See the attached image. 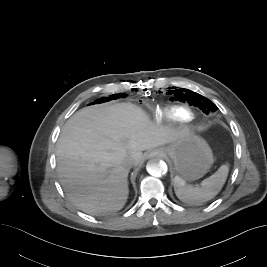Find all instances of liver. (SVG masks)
I'll return each instance as SVG.
<instances>
[{"mask_svg":"<svg viewBox=\"0 0 267 267\" xmlns=\"http://www.w3.org/2000/svg\"><path fill=\"white\" fill-rule=\"evenodd\" d=\"M184 132L153 123L133 104L85 107L68 119L58 139L60 183L85 213L117 212L129 194L124 160L131 158L138 166L142 151L171 143Z\"/></svg>","mask_w":267,"mask_h":267,"instance_id":"obj_1","label":"liver"}]
</instances>
